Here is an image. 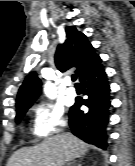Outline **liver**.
Segmentation results:
<instances>
[{"mask_svg":"<svg viewBox=\"0 0 135 166\" xmlns=\"http://www.w3.org/2000/svg\"><path fill=\"white\" fill-rule=\"evenodd\" d=\"M89 145L71 133L58 134L33 147L17 150L6 166H63L64 163L85 155Z\"/></svg>","mask_w":135,"mask_h":166,"instance_id":"1","label":"liver"}]
</instances>
